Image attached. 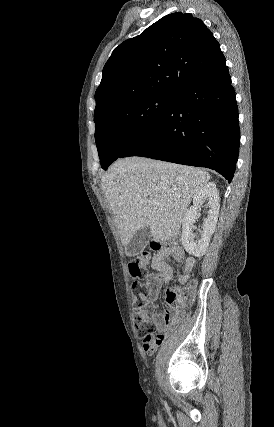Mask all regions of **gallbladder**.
I'll return each mask as SVG.
<instances>
[{"label":"gallbladder","mask_w":274,"mask_h":427,"mask_svg":"<svg viewBox=\"0 0 274 427\" xmlns=\"http://www.w3.org/2000/svg\"><path fill=\"white\" fill-rule=\"evenodd\" d=\"M151 237L150 227H143V229H138L131 237L129 243L125 245L126 255H138L146 247L149 239Z\"/></svg>","instance_id":"bac80fb5"}]
</instances>
